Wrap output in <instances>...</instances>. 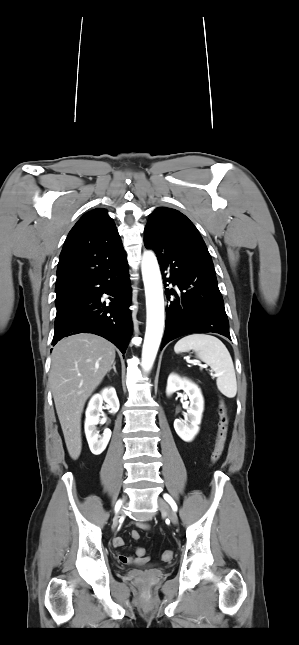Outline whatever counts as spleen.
Instances as JSON below:
<instances>
[{
	"label": "spleen",
	"mask_w": 299,
	"mask_h": 645,
	"mask_svg": "<svg viewBox=\"0 0 299 645\" xmlns=\"http://www.w3.org/2000/svg\"><path fill=\"white\" fill-rule=\"evenodd\" d=\"M193 350L197 357L209 365L215 373L218 390L228 398L235 397L237 382L232 358L226 346L216 337L208 334H191L181 338L174 351Z\"/></svg>",
	"instance_id": "spleen-1"
}]
</instances>
